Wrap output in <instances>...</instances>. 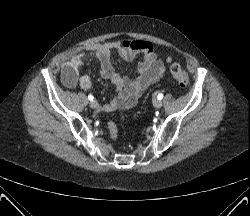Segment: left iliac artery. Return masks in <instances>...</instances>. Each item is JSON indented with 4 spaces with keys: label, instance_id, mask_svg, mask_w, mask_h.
<instances>
[{
    "label": "left iliac artery",
    "instance_id": "left-iliac-artery-1",
    "mask_svg": "<svg viewBox=\"0 0 250 216\" xmlns=\"http://www.w3.org/2000/svg\"><path fill=\"white\" fill-rule=\"evenodd\" d=\"M157 98L161 100L163 98V94H158Z\"/></svg>",
    "mask_w": 250,
    "mask_h": 216
}]
</instances>
